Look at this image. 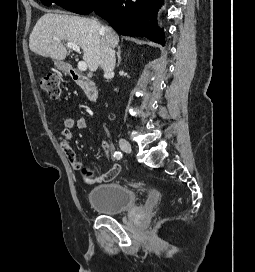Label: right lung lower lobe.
<instances>
[{
	"label": "right lung lower lobe",
	"mask_w": 255,
	"mask_h": 272,
	"mask_svg": "<svg viewBox=\"0 0 255 272\" xmlns=\"http://www.w3.org/2000/svg\"><path fill=\"white\" fill-rule=\"evenodd\" d=\"M163 0H102L94 8L120 34L147 37L164 45V33L157 26V12Z\"/></svg>",
	"instance_id": "obj_1"
}]
</instances>
